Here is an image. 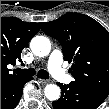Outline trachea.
<instances>
[{
  "mask_svg": "<svg viewBox=\"0 0 109 109\" xmlns=\"http://www.w3.org/2000/svg\"><path fill=\"white\" fill-rule=\"evenodd\" d=\"M14 72L17 73V74H20V75L28 76V77H32L36 73L34 68L15 69ZM38 77L41 78V79H49V73L46 70L41 69V70L38 71Z\"/></svg>",
  "mask_w": 109,
  "mask_h": 109,
  "instance_id": "1",
  "label": "trachea"
}]
</instances>
